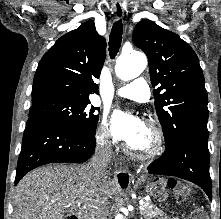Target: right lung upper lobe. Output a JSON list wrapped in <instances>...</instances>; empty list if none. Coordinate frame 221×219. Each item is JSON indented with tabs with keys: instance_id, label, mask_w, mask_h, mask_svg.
I'll use <instances>...</instances> for the list:
<instances>
[{
	"instance_id": "right-lung-upper-lobe-1",
	"label": "right lung upper lobe",
	"mask_w": 221,
	"mask_h": 219,
	"mask_svg": "<svg viewBox=\"0 0 221 219\" xmlns=\"http://www.w3.org/2000/svg\"><path fill=\"white\" fill-rule=\"evenodd\" d=\"M106 41L93 20L60 37L42 57L33 81L32 102L48 98L89 99L98 94Z\"/></svg>"
}]
</instances>
